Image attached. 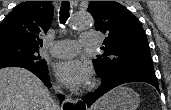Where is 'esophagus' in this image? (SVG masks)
I'll use <instances>...</instances> for the list:
<instances>
[{"mask_svg":"<svg viewBox=\"0 0 171 110\" xmlns=\"http://www.w3.org/2000/svg\"><path fill=\"white\" fill-rule=\"evenodd\" d=\"M70 3L73 6H77L78 1H70ZM64 107L67 108V110H76L77 107V101L72 99L71 97H67L64 102Z\"/></svg>","mask_w":171,"mask_h":110,"instance_id":"obj_1","label":"esophagus"}]
</instances>
